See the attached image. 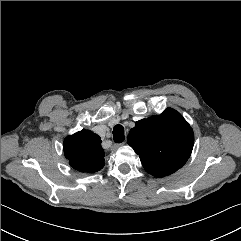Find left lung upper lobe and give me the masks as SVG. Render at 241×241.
<instances>
[{
  "instance_id": "1",
  "label": "left lung upper lobe",
  "mask_w": 241,
  "mask_h": 241,
  "mask_svg": "<svg viewBox=\"0 0 241 241\" xmlns=\"http://www.w3.org/2000/svg\"><path fill=\"white\" fill-rule=\"evenodd\" d=\"M127 141L149 174L164 177L187 162L193 149L194 134L180 113L167 108L160 115L137 121Z\"/></svg>"
}]
</instances>
